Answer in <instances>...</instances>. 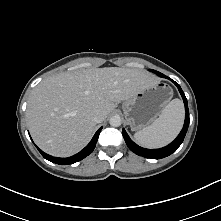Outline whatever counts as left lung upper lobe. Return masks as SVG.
I'll use <instances>...</instances> for the list:
<instances>
[{
	"label": "left lung upper lobe",
	"instance_id": "1",
	"mask_svg": "<svg viewBox=\"0 0 221 221\" xmlns=\"http://www.w3.org/2000/svg\"><path fill=\"white\" fill-rule=\"evenodd\" d=\"M151 71H153V72L156 73L157 75H160V74H161L160 72L155 71V70H151Z\"/></svg>",
	"mask_w": 221,
	"mask_h": 221
}]
</instances>
